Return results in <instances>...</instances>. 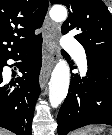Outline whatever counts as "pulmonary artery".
I'll return each mask as SVG.
<instances>
[{
    "mask_svg": "<svg viewBox=\"0 0 112 135\" xmlns=\"http://www.w3.org/2000/svg\"><path fill=\"white\" fill-rule=\"evenodd\" d=\"M62 45L72 55L80 69L85 72L87 70L86 55L80 43L67 36L63 39Z\"/></svg>",
    "mask_w": 112,
    "mask_h": 135,
    "instance_id": "e3ab8cb5",
    "label": "pulmonary artery"
}]
</instances>
